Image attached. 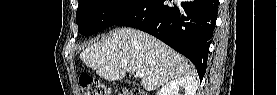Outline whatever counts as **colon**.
<instances>
[{
  "instance_id": "obj_1",
  "label": "colon",
  "mask_w": 277,
  "mask_h": 95,
  "mask_svg": "<svg viewBox=\"0 0 277 95\" xmlns=\"http://www.w3.org/2000/svg\"><path fill=\"white\" fill-rule=\"evenodd\" d=\"M80 86L85 95H109L108 86L90 76H81ZM124 95H145L142 90H124Z\"/></svg>"
}]
</instances>
